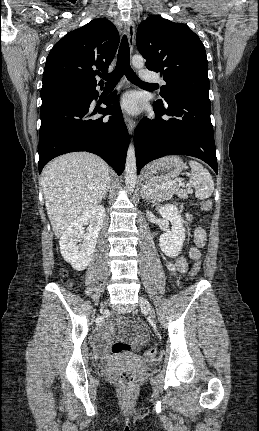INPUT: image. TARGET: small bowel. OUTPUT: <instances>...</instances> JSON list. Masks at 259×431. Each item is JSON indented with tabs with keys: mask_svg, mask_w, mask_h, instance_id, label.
<instances>
[{
	"mask_svg": "<svg viewBox=\"0 0 259 431\" xmlns=\"http://www.w3.org/2000/svg\"><path fill=\"white\" fill-rule=\"evenodd\" d=\"M188 219L190 220L189 215ZM193 239L195 246L190 249L189 256L193 261H198L200 258L199 248L203 247L206 241L204 230L201 228L194 229ZM166 264L173 273H183L187 269L186 260L182 256L174 260H168ZM110 330H115L121 339L131 345L134 351H139L147 339L146 329L141 322L125 325L119 319H115L103 325L96 334L95 343L99 354L105 355L107 347L112 341Z\"/></svg>",
	"mask_w": 259,
	"mask_h": 431,
	"instance_id": "1",
	"label": "small bowel"
}]
</instances>
